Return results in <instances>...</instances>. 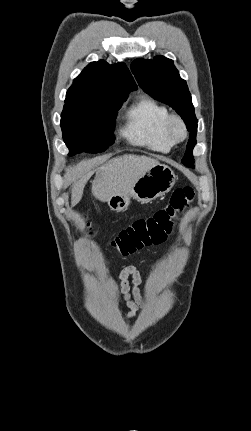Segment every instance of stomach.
<instances>
[{
  "label": "stomach",
  "mask_w": 251,
  "mask_h": 431,
  "mask_svg": "<svg viewBox=\"0 0 251 431\" xmlns=\"http://www.w3.org/2000/svg\"><path fill=\"white\" fill-rule=\"evenodd\" d=\"M175 181L174 171L165 164L157 163L129 191L112 195L107 201L108 206L113 211L121 212L129 206L130 198L141 203L152 202L169 192Z\"/></svg>",
  "instance_id": "1"
}]
</instances>
